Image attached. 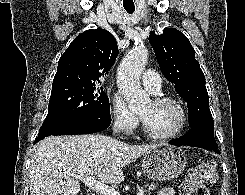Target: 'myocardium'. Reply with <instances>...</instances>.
Here are the masks:
<instances>
[{"instance_id": "1", "label": "myocardium", "mask_w": 245, "mask_h": 195, "mask_svg": "<svg viewBox=\"0 0 245 195\" xmlns=\"http://www.w3.org/2000/svg\"><path fill=\"white\" fill-rule=\"evenodd\" d=\"M152 102L155 104H171L176 106L180 111L181 121L174 131L166 134H155L148 129V127L142 119V130L146 136L155 140H168L179 136L186 130L189 123V114L186 107L180 100L170 96H159L156 97Z\"/></svg>"}]
</instances>
